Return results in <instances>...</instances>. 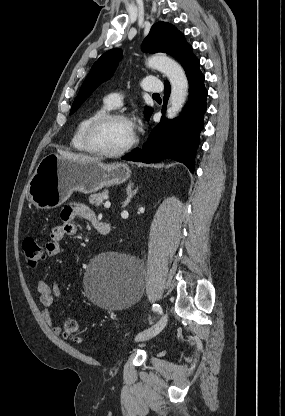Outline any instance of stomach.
Returning a JSON list of instances; mask_svg holds the SVG:
<instances>
[{"label":"stomach","mask_w":285,"mask_h":416,"mask_svg":"<svg viewBox=\"0 0 285 416\" xmlns=\"http://www.w3.org/2000/svg\"><path fill=\"white\" fill-rule=\"evenodd\" d=\"M130 176L129 166L121 162H79L48 154L39 162L27 190L31 204L39 210H52L64 204L72 192L93 194L102 188L123 184Z\"/></svg>","instance_id":"1"}]
</instances>
